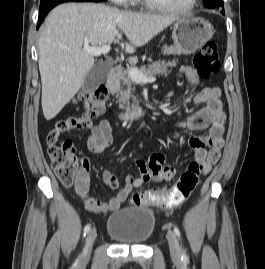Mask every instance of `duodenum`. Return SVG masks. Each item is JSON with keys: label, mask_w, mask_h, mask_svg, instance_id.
<instances>
[{"label": "duodenum", "mask_w": 265, "mask_h": 269, "mask_svg": "<svg viewBox=\"0 0 265 269\" xmlns=\"http://www.w3.org/2000/svg\"><path fill=\"white\" fill-rule=\"evenodd\" d=\"M121 71L118 67L112 68L107 77L106 86L113 90L117 86V83L120 79ZM146 115V111L142 108L131 110L122 114V119L125 121H136L143 118Z\"/></svg>", "instance_id": "410a0bca"}]
</instances>
